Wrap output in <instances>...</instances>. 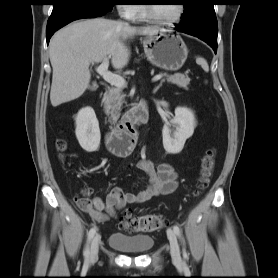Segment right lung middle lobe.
<instances>
[{"instance_id": "right-lung-middle-lobe-1", "label": "right lung middle lobe", "mask_w": 278, "mask_h": 278, "mask_svg": "<svg viewBox=\"0 0 278 278\" xmlns=\"http://www.w3.org/2000/svg\"><path fill=\"white\" fill-rule=\"evenodd\" d=\"M114 0H52L53 11L52 13L58 11L60 8L69 5H81L90 8L110 11L114 5Z\"/></svg>"}]
</instances>
